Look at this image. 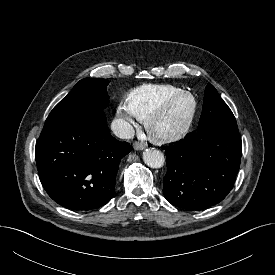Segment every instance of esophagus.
Returning a JSON list of instances; mask_svg holds the SVG:
<instances>
[{"mask_svg": "<svg viewBox=\"0 0 275 275\" xmlns=\"http://www.w3.org/2000/svg\"><path fill=\"white\" fill-rule=\"evenodd\" d=\"M133 148L135 150H143L145 148V145L143 143L139 142V141H135L133 143Z\"/></svg>", "mask_w": 275, "mask_h": 275, "instance_id": "1", "label": "esophagus"}]
</instances>
